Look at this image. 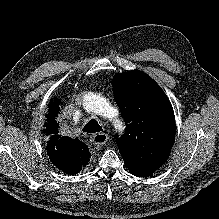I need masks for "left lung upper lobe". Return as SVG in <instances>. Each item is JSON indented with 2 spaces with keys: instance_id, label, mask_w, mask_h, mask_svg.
<instances>
[{
  "instance_id": "5c2ea615",
  "label": "left lung upper lobe",
  "mask_w": 219,
  "mask_h": 219,
  "mask_svg": "<svg viewBox=\"0 0 219 219\" xmlns=\"http://www.w3.org/2000/svg\"><path fill=\"white\" fill-rule=\"evenodd\" d=\"M116 104L126 124L116 143L129 170L158 169L169 157L175 139L172 105L148 75L139 70L112 81Z\"/></svg>"
}]
</instances>
